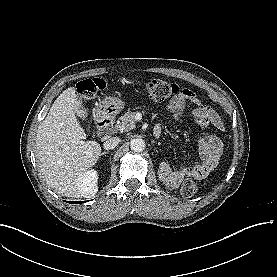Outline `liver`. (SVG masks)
<instances>
[{"label":"liver","mask_w":277,"mask_h":277,"mask_svg":"<svg viewBox=\"0 0 277 277\" xmlns=\"http://www.w3.org/2000/svg\"><path fill=\"white\" fill-rule=\"evenodd\" d=\"M76 89L64 90L52 104L36 136V158L47 184L66 197H80L78 178L93 167L101 154L97 141H85L86 134L77 121L87 109L77 100Z\"/></svg>","instance_id":"6515ba94"}]
</instances>
